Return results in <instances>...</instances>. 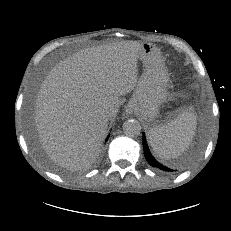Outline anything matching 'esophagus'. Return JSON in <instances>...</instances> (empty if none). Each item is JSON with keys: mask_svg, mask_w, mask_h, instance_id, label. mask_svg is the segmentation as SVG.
Returning <instances> with one entry per match:
<instances>
[{"mask_svg": "<svg viewBox=\"0 0 231 231\" xmlns=\"http://www.w3.org/2000/svg\"><path fill=\"white\" fill-rule=\"evenodd\" d=\"M126 112H127L128 114H131V113L133 112V110L128 106L127 109H126Z\"/></svg>", "mask_w": 231, "mask_h": 231, "instance_id": "34e87169", "label": "esophagus"}]
</instances>
